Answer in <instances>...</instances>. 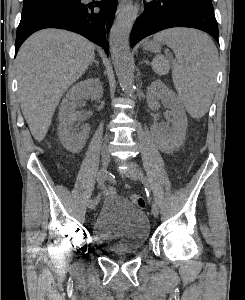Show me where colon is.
<instances>
[{"label": "colon", "mask_w": 245, "mask_h": 300, "mask_svg": "<svg viewBox=\"0 0 245 300\" xmlns=\"http://www.w3.org/2000/svg\"><path fill=\"white\" fill-rule=\"evenodd\" d=\"M131 199H132L133 203L135 205H137L138 207L142 208L145 206V200L140 195L135 194L131 197Z\"/></svg>", "instance_id": "1"}]
</instances>
